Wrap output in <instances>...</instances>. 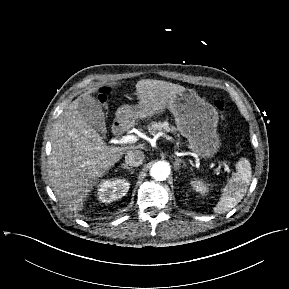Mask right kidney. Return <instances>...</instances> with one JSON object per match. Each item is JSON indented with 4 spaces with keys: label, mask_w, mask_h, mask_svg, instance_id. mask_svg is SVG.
Masks as SVG:
<instances>
[{
    "label": "right kidney",
    "mask_w": 289,
    "mask_h": 289,
    "mask_svg": "<svg viewBox=\"0 0 289 289\" xmlns=\"http://www.w3.org/2000/svg\"><path fill=\"white\" fill-rule=\"evenodd\" d=\"M130 184L125 179L103 180L98 188V198L103 203H110L125 196Z\"/></svg>",
    "instance_id": "right-kidney-1"
}]
</instances>
